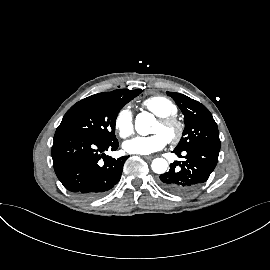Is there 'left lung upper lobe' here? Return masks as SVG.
Instances as JSON below:
<instances>
[{"label":"left lung upper lobe","mask_w":270,"mask_h":270,"mask_svg":"<svg viewBox=\"0 0 270 270\" xmlns=\"http://www.w3.org/2000/svg\"><path fill=\"white\" fill-rule=\"evenodd\" d=\"M184 114L185 129L175 149L206 147L220 150L219 132L210 111L201 103L183 94L167 92Z\"/></svg>","instance_id":"obj_1"}]
</instances>
